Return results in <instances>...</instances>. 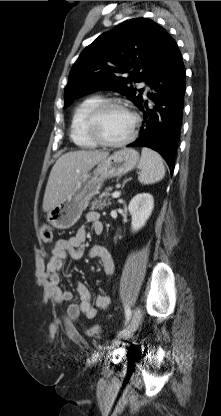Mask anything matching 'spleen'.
Segmentation results:
<instances>
[{"instance_id": "spleen-1", "label": "spleen", "mask_w": 221, "mask_h": 416, "mask_svg": "<svg viewBox=\"0 0 221 416\" xmlns=\"http://www.w3.org/2000/svg\"><path fill=\"white\" fill-rule=\"evenodd\" d=\"M139 169L138 180L142 184L156 183L165 176V167L161 156L147 147L142 148Z\"/></svg>"}]
</instances>
